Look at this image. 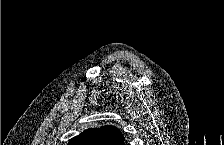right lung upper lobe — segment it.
<instances>
[{"label":"right lung upper lobe","instance_id":"cb5924a9","mask_svg":"<svg viewBox=\"0 0 224 145\" xmlns=\"http://www.w3.org/2000/svg\"><path fill=\"white\" fill-rule=\"evenodd\" d=\"M68 145H124L121 131L112 125L91 128L72 138Z\"/></svg>","mask_w":224,"mask_h":145}]
</instances>
